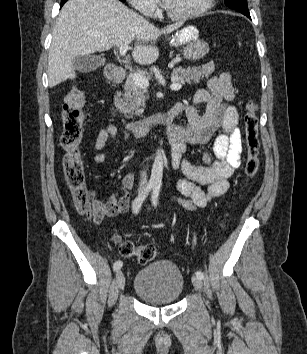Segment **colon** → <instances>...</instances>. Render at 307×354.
<instances>
[{
  "instance_id": "1",
  "label": "colon",
  "mask_w": 307,
  "mask_h": 354,
  "mask_svg": "<svg viewBox=\"0 0 307 354\" xmlns=\"http://www.w3.org/2000/svg\"><path fill=\"white\" fill-rule=\"evenodd\" d=\"M84 93L73 88L65 97L62 119L63 131L61 143L66 153L63 157V170L69 186L73 203L76 209L88 215L95 222H99L109 211L108 207L92 200L86 187L83 160L80 152V143L83 135ZM257 104L253 98L246 102L244 115V133L247 150L245 174L249 179L256 176L259 170V149ZM119 254L125 258H135L140 263L153 261L157 256L153 245H136L131 241H122L115 237Z\"/></svg>"
}]
</instances>
